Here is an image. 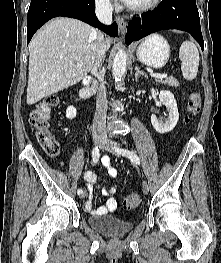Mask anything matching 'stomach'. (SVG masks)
Returning a JSON list of instances; mask_svg holds the SVG:
<instances>
[{
	"instance_id": "1",
	"label": "stomach",
	"mask_w": 221,
	"mask_h": 263,
	"mask_svg": "<svg viewBox=\"0 0 221 263\" xmlns=\"http://www.w3.org/2000/svg\"><path fill=\"white\" fill-rule=\"evenodd\" d=\"M136 54L141 63L152 68H161L169 59L170 46L162 36L153 34L141 43Z\"/></svg>"
}]
</instances>
